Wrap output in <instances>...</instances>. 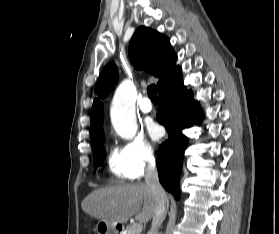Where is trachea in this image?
<instances>
[{
	"instance_id": "1",
	"label": "trachea",
	"mask_w": 279,
	"mask_h": 234,
	"mask_svg": "<svg viewBox=\"0 0 279 234\" xmlns=\"http://www.w3.org/2000/svg\"><path fill=\"white\" fill-rule=\"evenodd\" d=\"M147 93L152 102H157V91L154 84L148 86Z\"/></svg>"
}]
</instances>
